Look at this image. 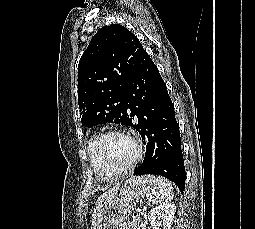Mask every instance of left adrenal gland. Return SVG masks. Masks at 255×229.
<instances>
[{
	"instance_id": "left-adrenal-gland-1",
	"label": "left adrenal gland",
	"mask_w": 255,
	"mask_h": 229,
	"mask_svg": "<svg viewBox=\"0 0 255 229\" xmlns=\"http://www.w3.org/2000/svg\"><path fill=\"white\" fill-rule=\"evenodd\" d=\"M146 211H147V206H144L142 214H143L144 212H146Z\"/></svg>"
}]
</instances>
